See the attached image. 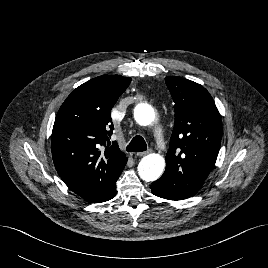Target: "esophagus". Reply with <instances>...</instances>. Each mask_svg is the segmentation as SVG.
Here are the masks:
<instances>
[{
    "instance_id": "1",
    "label": "esophagus",
    "mask_w": 268,
    "mask_h": 268,
    "mask_svg": "<svg viewBox=\"0 0 268 268\" xmlns=\"http://www.w3.org/2000/svg\"><path fill=\"white\" fill-rule=\"evenodd\" d=\"M151 152H152L151 149H149V150H147V151H143V152H138V153H137V156H139V157H143V156H145V155H148V154L151 153Z\"/></svg>"
}]
</instances>
